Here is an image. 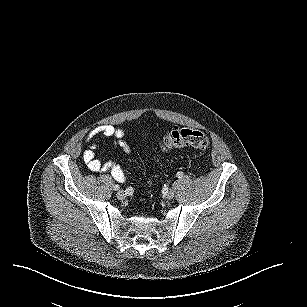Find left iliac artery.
Instances as JSON below:
<instances>
[{"label": "left iliac artery", "instance_id": "obj_1", "mask_svg": "<svg viewBox=\"0 0 307 307\" xmlns=\"http://www.w3.org/2000/svg\"><path fill=\"white\" fill-rule=\"evenodd\" d=\"M176 176H177L178 178H182V177H183V172H177Z\"/></svg>", "mask_w": 307, "mask_h": 307}]
</instances>
